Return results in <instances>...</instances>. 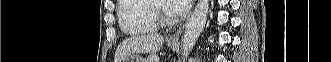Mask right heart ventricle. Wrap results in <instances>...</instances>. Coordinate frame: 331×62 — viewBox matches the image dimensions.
I'll return each instance as SVG.
<instances>
[{"label": "right heart ventricle", "mask_w": 331, "mask_h": 62, "mask_svg": "<svg viewBox=\"0 0 331 62\" xmlns=\"http://www.w3.org/2000/svg\"><path fill=\"white\" fill-rule=\"evenodd\" d=\"M117 16L120 28L125 34L140 35L157 30L147 0L118 1Z\"/></svg>", "instance_id": "right-heart-ventricle-1"}]
</instances>
